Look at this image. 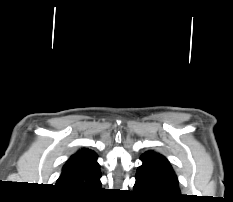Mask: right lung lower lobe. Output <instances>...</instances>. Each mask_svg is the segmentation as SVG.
I'll use <instances>...</instances> for the list:
<instances>
[{
    "instance_id": "obj_1",
    "label": "right lung lower lobe",
    "mask_w": 233,
    "mask_h": 202,
    "mask_svg": "<svg viewBox=\"0 0 233 202\" xmlns=\"http://www.w3.org/2000/svg\"><path fill=\"white\" fill-rule=\"evenodd\" d=\"M60 188V187H59ZM98 190H100V188H97L96 190H94L93 192H90V193H87V194H83L84 196H93V195H95L97 192H98Z\"/></svg>"
}]
</instances>
